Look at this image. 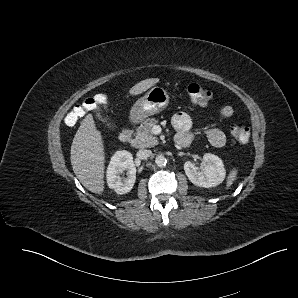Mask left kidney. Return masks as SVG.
I'll return each instance as SVG.
<instances>
[{
  "label": "left kidney",
  "mask_w": 298,
  "mask_h": 298,
  "mask_svg": "<svg viewBox=\"0 0 298 298\" xmlns=\"http://www.w3.org/2000/svg\"><path fill=\"white\" fill-rule=\"evenodd\" d=\"M204 166L201 171L191 161L184 163V171L188 179L195 186L211 188L221 184L226 176L223 161L217 155L205 153Z\"/></svg>",
  "instance_id": "1"
}]
</instances>
